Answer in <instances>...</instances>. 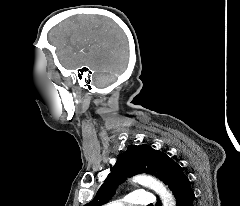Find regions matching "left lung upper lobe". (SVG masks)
I'll list each match as a JSON object with an SVG mask.
<instances>
[{
    "label": "left lung upper lobe",
    "mask_w": 240,
    "mask_h": 206,
    "mask_svg": "<svg viewBox=\"0 0 240 206\" xmlns=\"http://www.w3.org/2000/svg\"><path fill=\"white\" fill-rule=\"evenodd\" d=\"M175 163L164 152L149 145H129L126 152L117 160L96 196L85 206H101L114 195L116 187L127 177L138 173H149L166 184L171 166Z\"/></svg>",
    "instance_id": "1"
}]
</instances>
